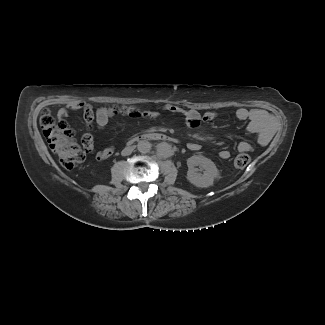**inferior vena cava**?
Returning <instances> with one entry per match:
<instances>
[{
	"mask_svg": "<svg viewBox=\"0 0 325 325\" xmlns=\"http://www.w3.org/2000/svg\"><path fill=\"white\" fill-rule=\"evenodd\" d=\"M133 151V147H126L122 150L121 154L122 156L130 155Z\"/></svg>",
	"mask_w": 325,
	"mask_h": 325,
	"instance_id": "inferior-vena-cava-1",
	"label": "inferior vena cava"
}]
</instances>
